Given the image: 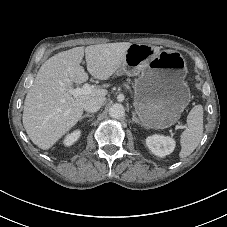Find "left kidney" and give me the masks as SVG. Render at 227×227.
Instances as JSON below:
<instances>
[{
    "mask_svg": "<svg viewBox=\"0 0 227 227\" xmlns=\"http://www.w3.org/2000/svg\"><path fill=\"white\" fill-rule=\"evenodd\" d=\"M146 145L153 154L159 157H164L173 152L175 141L171 137L153 135L146 139Z\"/></svg>",
    "mask_w": 227,
    "mask_h": 227,
    "instance_id": "1",
    "label": "left kidney"
}]
</instances>
